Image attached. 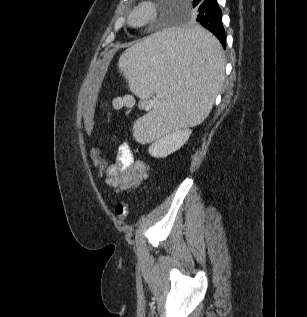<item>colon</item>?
Returning a JSON list of instances; mask_svg holds the SVG:
<instances>
[{
  "label": "colon",
  "mask_w": 307,
  "mask_h": 317,
  "mask_svg": "<svg viewBox=\"0 0 307 317\" xmlns=\"http://www.w3.org/2000/svg\"><path fill=\"white\" fill-rule=\"evenodd\" d=\"M118 103H121V102L118 101ZM92 160H93V163H94L95 168L97 170V175L99 177L105 176L108 165H107L106 161L101 157L99 150H97V149L93 150ZM115 213L120 220H126V218L128 217V213H129L128 203L126 201H121V202L117 203L116 207H115Z\"/></svg>",
  "instance_id": "colon-1"
}]
</instances>
